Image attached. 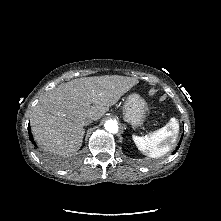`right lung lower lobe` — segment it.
Returning a JSON list of instances; mask_svg holds the SVG:
<instances>
[{
  "label": "right lung lower lobe",
  "instance_id": "obj_1",
  "mask_svg": "<svg viewBox=\"0 0 221 221\" xmlns=\"http://www.w3.org/2000/svg\"><path fill=\"white\" fill-rule=\"evenodd\" d=\"M28 133H29V139H30V141H32V140H33V137H32V135H31L30 125L28 126ZM32 142H33L34 146H36L35 142H34V141H32Z\"/></svg>",
  "mask_w": 221,
  "mask_h": 221
}]
</instances>
